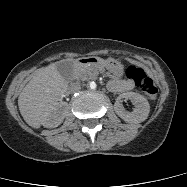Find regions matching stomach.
<instances>
[{"label": "stomach", "mask_w": 187, "mask_h": 187, "mask_svg": "<svg viewBox=\"0 0 187 187\" xmlns=\"http://www.w3.org/2000/svg\"><path fill=\"white\" fill-rule=\"evenodd\" d=\"M92 62L100 67L106 68L113 77L118 78L123 75V65L121 62L114 58H108V59H101L98 57H95Z\"/></svg>", "instance_id": "obj_1"}]
</instances>
